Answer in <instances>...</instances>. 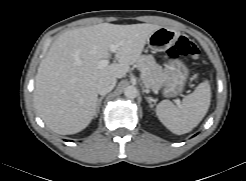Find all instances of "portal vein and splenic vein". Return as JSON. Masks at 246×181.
I'll return each mask as SVG.
<instances>
[{"mask_svg": "<svg viewBox=\"0 0 246 181\" xmlns=\"http://www.w3.org/2000/svg\"><path fill=\"white\" fill-rule=\"evenodd\" d=\"M119 45L118 44H111L110 45V51L112 53H116L117 49H118ZM110 63L109 59H102V60H99L97 65L99 68H104L106 66H108Z\"/></svg>", "mask_w": 246, "mask_h": 181, "instance_id": "18ae733b", "label": "portal vein and splenic vein"}]
</instances>
